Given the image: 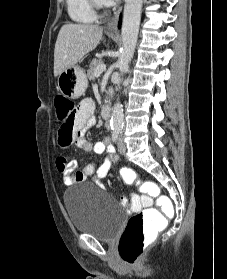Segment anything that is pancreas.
<instances>
[{
	"instance_id": "cf45deb5",
	"label": "pancreas",
	"mask_w": 227,
	"mask_h": 279,
	"mask_svg": "<svg viewBox=\"0 0 227 279\" xmlns=\"http://www.w3.org/2000/svg\"><path fill=\"white\" fill-rule=\"evenodd\" d=\"M103 64V61L101 59H94L90 65H89V69L87 71L88 73V78L90 80H94L95 78V71L96 69L101 66Z\"/></svg>"
}]
</instances>
